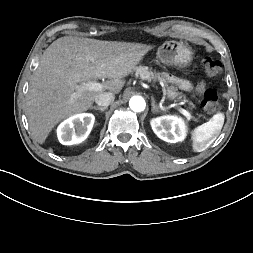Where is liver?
Segmentation results:
<instances>
[{
	"instance_id": "liver-1",
	"label": "liver",
	"mask_w": 253,
	"mask_h": 253,
	"mask_svg": "<svg viewBox=\"0 0 253 253\" xmlns=\"http://www.w3.org/2000/svg\"><path fill=\"white\" fill-rule=\"evenodd\" d=\"M150 45L102 41L77 36L55 40L43 53L29 86L26 116L32 135L44 143L61 120L87 111L99 93L118 94L124 77L133 72ZM108 78L99 91H84L76 98L78 83Z\"/></svg>"
}]
</instances>
